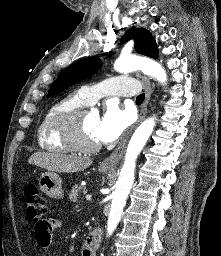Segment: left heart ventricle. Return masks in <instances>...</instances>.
I'll return each mask as SVG.
<instances>
[{
  "label": "left heart ventricle",
  "instance_id": "b2bd125f",
  "mask_svg": "<svg viewBox=\"0 0 221 256\" xmlns=\"http://www.w3.org/2000/svg\"><path fill=\"white\" fill-rule=\"evenodd\" d=\"M99 117L93 113L85 114L82 122V136L87 143H98L94 131L98 124Z\"/></svg>",
  "mask_w": 221,
  "mask_h": 256
}]
</instances>
